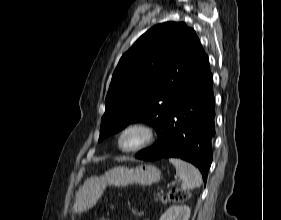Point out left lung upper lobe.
I'll return each instance as SVG.
<instances>
[{"label": "left lung upper lobe", "instance_id": "left-lung-upper-lobe-1", "mask_svg": "<svg viewBox=\"0 0 281 220\" xmlns=\"http://www.w3.org/2000/svg\"><path fill=\"white\" fill-rule=\"evenodd\" d=\"M205 55L185 23L166 22L145 32L113 73L99 141L133 122H146L158 133L179 85Z\"/></svg>", "mask_w": 281, "mask_h": 220}]
</instances>
